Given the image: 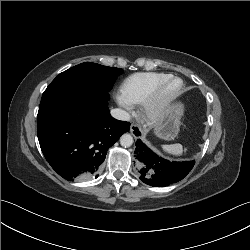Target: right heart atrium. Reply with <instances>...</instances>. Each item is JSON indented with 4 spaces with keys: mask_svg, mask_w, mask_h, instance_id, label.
<instances>
[{
    "mask_svg": "<svg viewBox=\"0 0 250 250\" xmlns=\"http://www.w3.org/2000/svg\"><path fill=\"white\" fill-rule=\"evenodd\" d=\"M117 101L119 103V105H121L122 107H124L125 109L129 110L130 109V104L127 103L122 97H118Z\"/></svg>",
    "mask_w": 250,
    "mask_h": 250,
    "instance_id": "right-heart-atrium-1",
    "label": "right heart atrium"
}]
</instances>
